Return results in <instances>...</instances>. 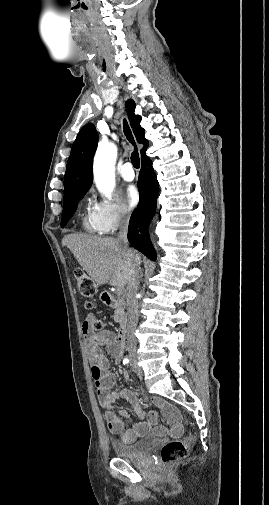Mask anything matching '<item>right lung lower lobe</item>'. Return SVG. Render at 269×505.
Masks as SVG:
<instances>
[{"mask_svg": "<svg viewBox=\"0 0 269 505\" xmlns=\"http://www.w3.org/2000/svg\"><path fill=\"white\" fill-rule=\"evenodd\" d=\"M138 188L140 192V202L130 218L128 240L133 247L142 252L145 256L152 260H156V252L151 244L147 230L155 214L159 185L152 169V161L150 158L145 157L142 159Z\"/></svg>", "mask_w": 269, "mask_h": 505, "instance_id": "98d812e1", "label": "right lung lower lobe"}]
</instances>
